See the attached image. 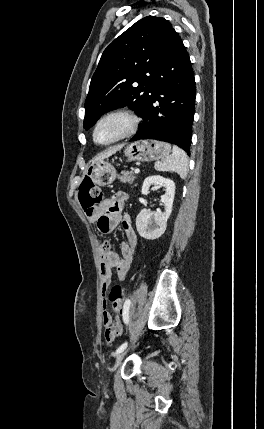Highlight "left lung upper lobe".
<instances>
[{
    "label": "left lung upper lobe",
    "instance_id": "obj_1",
    "mask_svg": "<svg viewBox=\"0 0 264 429\" xmlns=\"http://www.w3.org/2000/svg\"><path fill=\"white\" fill-rule=\"evenodd\" d=\"M172 29L166 19L147 16L105 49L85 101L86 130L107 111L126 105L141 115Z\"/></svg>",
    "mask_w": 264,
    "mask_h": 429
}]
</instances>
